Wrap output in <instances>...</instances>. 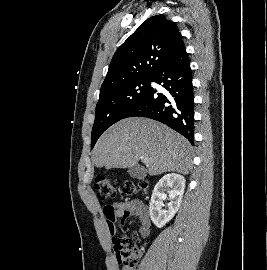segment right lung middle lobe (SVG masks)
Here are the masks:
<instances>
[{
	"label": "right lung middle lobe",
	"mask_w": 267,
	"mask_h": 270,
	"mask_svg": "<svg viewBox=\"0 0 267 270\" xmlns=\"http://www.w3.org/2000/svg\"><path fill=\"white\" fill-rule=\"evenodd\" d=\"M150 80V77L134 79L100 91L91 148L107 128L123 119L142 100L150 88Z\"/></svg>",
	"instance_id": "dd1d6c3e"
}]
</instances>
